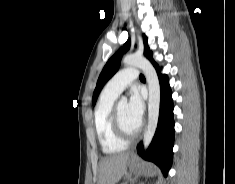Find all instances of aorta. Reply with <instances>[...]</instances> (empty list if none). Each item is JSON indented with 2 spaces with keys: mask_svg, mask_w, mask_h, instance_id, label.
Returning <instances> with one entry per match:
<instances>
[{
  "mask_svg": "<svg viewBox=\"0 0 235 184\" xmlns=\"http://www.w3.org/2000/svg\"><path fill=\"white\" fill-rule=\"evenodd\" d=\"M123 64H125V66H133V68H141L147 80L149 90L148 126L147 130L144 132L143 138L144 148L147 150L149 144H151L153 140L159 118L160 86L158 76L152 64H150L146 58H143V56H137V54H127V56H124L123 58ZM124 104H127V98H125V96H121L119 106H124Z\"/></svg>",
  "mask_w": 235,
  "mask_h": 184,
  "instance_id": "762f6f07",
  "label": "aorta"
}]
</instances>
